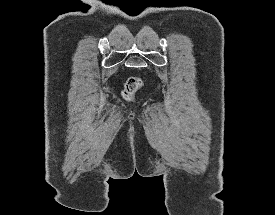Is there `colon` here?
<instances>
[{"mask_svg":"<svg viewBox=\"0 0 275 215\" xmlns=\"http://www.w3.org/2000/svg\"><path fill=\"white\" fill-rule=\"evenodd\" d=\"M142 87V80L138 77H130L124 84L123 96L125 99H132L134 94Z\"/></svg>","mask_w":275,"mask_h":215,"instance_id":"1","label":"colon"}]
</instances>
